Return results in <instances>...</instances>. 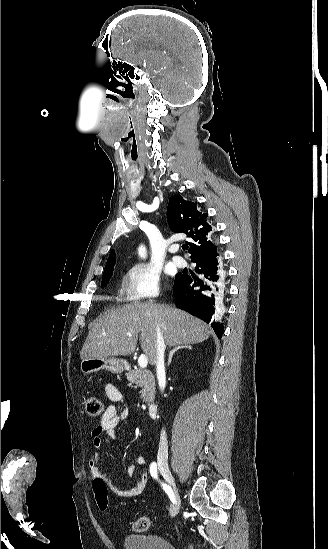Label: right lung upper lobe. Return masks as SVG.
<instances>
[{
  "label": "right lung upper lobe",
  "mask_w": 328,
  "mask_h": 549,
  "mask_svg": "<svg viewBox=\"0 0 328 549\" xmlns=\"http://www.w3.org/2000/svg\"><path fill=\"white\" fill-rule=\"evenodd\" d=\"M197 202L184 200L180 195L169 199L167 220L173 232L185 233L193 242L189 244L191 259L216 254L217 246L213 239V228L209 223L207 213L196 208ZM115 251L113 250L106 262L104 273L114 267Z\"/></svg>",
  "instance_id": "1"
}]
</instances>
